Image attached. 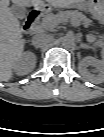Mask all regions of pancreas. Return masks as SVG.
Listing matches in <instances>:
<instances>
[{
    "mask_svg": "<svg viewBox=\"0 0 104 137\" xmlns=\"http://www.w3.org/2000/svg\"><path fill=\"white\" fill-rule=\"evenodd\" d=\"M68 21H70L73 25H79L81 22L86 25L91 23V20L89 18L78 11H66L60 12L58 15L47 16L45 18V21H43V24L46 27H51L59 23H66ZM88 40L92 42L95 40V37L93 35H90L88 36ZM97 44L98 42H94V45Z\"/></svg>",
    "mask_w": 104,
    "mask_h": 137,
    "instance_id": "1",
    "label": "pancreas"
}]
</instances>
